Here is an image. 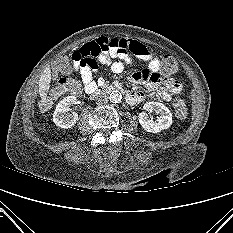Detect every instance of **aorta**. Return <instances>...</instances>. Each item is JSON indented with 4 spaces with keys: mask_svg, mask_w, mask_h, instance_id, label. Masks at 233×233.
<instances>
[{
    "mask_svg": "<svg viewBox=\"0 0 233 233\" xmlns=\"http://www.w3.org/2000/svg\"><path fill=\"white\" fill-rule=\"evenodd\" d=\"M109 98H110L111 102L118 103V102L121 101L122 95H121V93L119 91L116 90V91H112L110 93V97Z\"/></svg>",
    "mask_w": 233,
    "mask_h": 233,
    "instance_id": "1",
    "label": "aorta"
}]
</instances>
